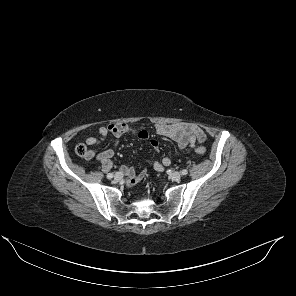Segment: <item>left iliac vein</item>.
<instances>
[{
  "instance_id": "left-iliac-vein-1",
  "label": "left iliac vein",
  "mask_w": 296,
  "mask_h": 296,
  "mask_svg": "<svg viewBox=\"0 0 296 296\" xmlns=\"http://www.w3.org/2000/svg\"><path fill=\"white\" fill-rule=\"evenodd\" d=\"M169 176L173 181H179L181 179V173L177 171L171 172Z\"/></svg>"
}]
</instances>
